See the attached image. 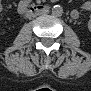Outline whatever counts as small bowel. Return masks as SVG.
<instances>
[{
    "label": "small bowel",
    "mask_w": 91,
    "mask_h": 91,
    "mask_svg": "<svg viewBox=\"0 0 91 91\" xmlns=\"http://www.w3.org/2000/svg\"><path fill=\"white\" fill-rule=\"evenodd\" d=\"M26 5H27V1L26 0H22V1L19 2L18 7H19L20 10H23L26 7ZM73 14L75 15L76 12L74 11Z\"/></svg>",
    "instance_id": "small-bowel-1"
}]
</instances>
